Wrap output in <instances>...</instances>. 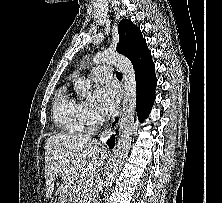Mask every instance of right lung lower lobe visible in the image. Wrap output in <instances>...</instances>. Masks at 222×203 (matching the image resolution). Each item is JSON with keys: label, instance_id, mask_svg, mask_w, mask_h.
I'll list each match as a JSON object with an SVG mask.
<instances>
[{"label": "right lung lower lobe", "instance_id": "98d812e1", "mask_svg": "<svg viewBox=\"0 0 222 203\" xmlns=\"http://www.w3.org/2000/svg\"><path fill=\"white\" fill-rule=\"evenodd\" d=\"M107 144L110 146V149L113 148L114 144H115V136L112 135L111 138L108 140Z\"/></svg>", "mask_w": 222, "mask_h": 203}]
</instances>
